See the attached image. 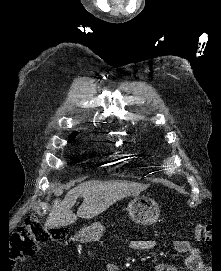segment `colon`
<instances>
[{
    "label": "colon",
    "instance_id": "obj_1",
    "mask_svg": "<svg viewBox=\"0 0 221 271\" xmlns=\"http://www.w3.org/2000/svg\"><path fill=\"white\" fill-rule=\"evenodd\" d=\"M65 235V227H44L40 217L31 213L25 216L23 225L18 227L10 238V257L21 262L34 254L39 244L58 240ZM195 237L199 242L210 243L212 240L210 228L205 223L197 224Z\"/></svg>",
    "mask_w": 221,
    "mask_h": 271
}]
</instances>
